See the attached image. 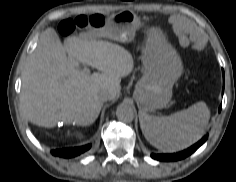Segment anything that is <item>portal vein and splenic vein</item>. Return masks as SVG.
Instances as JSON below:
<instances>
[{"mask_svg":"<svg viewBox=\"0 0 236 182\" xmlns=\"http://www.w3.org/2000/svg\"><path fill=\"white\" fill-rule=\"evenodd\" d=\"M77 66H78V64H77ZM85 73H88L89 72V69L88 68H84V70H83Z\"/></svg>","mask_w":236,"mask_h":182,"instance_id":"18ae733b","label":"portal vein and splenic vein"}]
</instances>
